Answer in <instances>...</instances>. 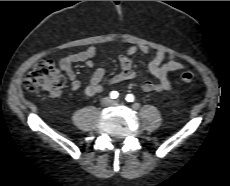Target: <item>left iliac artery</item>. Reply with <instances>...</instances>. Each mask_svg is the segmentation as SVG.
<instances>
[{
    "mask_svg": "<svg viewBox=\"0 0 230 186\" xmlns=\"http://www.w3.org/2000/svg\"><path fill=\"white\" fill-rule=\"evenodd\" d=\"M125 99L127 102H133L134 101V95L133 94H127Z\"/></svg>",
    "mask_w": 230,
    "mask_h": 186,
    "instance_id": "44dca946",
    "label": "left iliac artery"
}]
</instances>
